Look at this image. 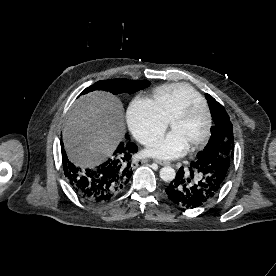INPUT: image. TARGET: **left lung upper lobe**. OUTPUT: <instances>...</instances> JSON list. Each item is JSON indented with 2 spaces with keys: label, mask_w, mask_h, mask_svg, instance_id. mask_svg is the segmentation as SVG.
<instances>
[{
  "label": "left lung upper lobe",
  "mask_w": 276,
  "mask_h": 276,
  "mask_svg": "<svg viewBox=\"0 0 276 276\" xmlns=\"http://www.w3.org/2000/svg\"><path fill=\"white\" fill-rule=\"evenodd\" d=\"M214 126L211 127V138L205 149L197 154L210 172L222 177L223 184L229 173L234 152L233 126L224 107L211 95L206 94Z\"/></svg>",
  "instance_id": "5c2ea615"
}]
</instances>
